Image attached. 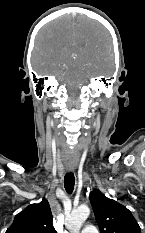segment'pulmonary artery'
Segmentation results:
<instances>
[{
  "instance_id": "e3ab8cb5",
  "label": "pulmonary artery",
  "mask_w": 145,
  "mask_h": 233,
  "mask_svg": "<svg viewBox=\"0 0 145 233\" xmlns=\"http://www.w3.org/2000/svg\"><path fill=\"white\" fill-rule=\"evenodd\" d=\"M81 233H98V230L94 226H87L84 229H82Z\"/></svg>"
}]
</instances>
